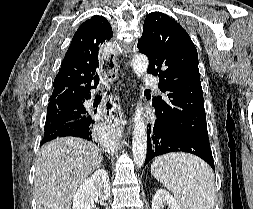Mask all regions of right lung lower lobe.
Here are the masks:
<instances>
[{"mask_svg": "<svg viewBox=\"0 0 253 209\" xmlns=\"http://www.w3.org/2000/svg\"><path fill=\"white\" fill-rule=\"evenodd\" d=\"M90 98H91V95L85 98L84 100H81L76 103H71L66 106L82 108L85 110L83 103L85 102V100H88ZM57 108H58L57 106H53L47 109H57ZM94 123L95 121L91 119V116L86 115L85 113V116L78 120L65 123L57 127L56 129H50V130L45 131L44 137L41 141V145L57 137H65V136L81 137L88 141H92L97 137V131L94 127Z\"/></svg>", "mask_w": 253, "mask_h": 209, "instance_id": "right-lung-lower-lobe-1", "label": "right lung lower lobe"}]
</instances>
